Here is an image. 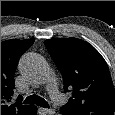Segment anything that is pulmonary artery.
Listing matches in <instances>:
<instances>
[{
  "label": "pulmonary artery",
  "mask_w": 115,
  "mask_h": 115,
  "mask_svg": "<svg viewBox=\"0 0 115 115\" xmlns=\"http://www.w3.org/2000/svg\"><path fill=\"white\" fill-rule=\"evenodd\" d=\"M46 80L49 83V93L53 100L57 103H60L63 100L62 95L57 91L54 80L51 76H46Z\"/></svg>",
  "instance_id": "pulmonary-artery-1"
}]
</instances>
